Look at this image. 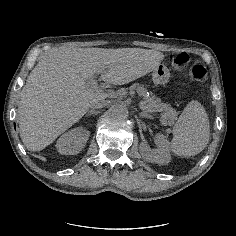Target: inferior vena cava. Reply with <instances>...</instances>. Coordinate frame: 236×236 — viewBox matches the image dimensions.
<instances>
[{
    "label": "inferior vena cava",
    "mask_w": 236,
    "mask_h": 236,
    "mask_svg": "<svg viewBox=\"0 0 236 236\" xmlns=\"http://www.w3.org/2000/svg\"><path fill=\"white\" fill-rule=\"evenodd\" d=\"M106 105H108L107 100L101 102L100 104H98V105H96V106H94V107H91V106H90V108H101V107L106 106Z\"/></svg>",
    "instance_id": "602c4592"
}]
</instances>
